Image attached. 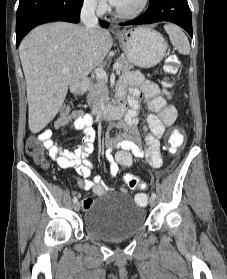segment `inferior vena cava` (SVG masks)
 <instances>
[{
  "mask_svg": "<svg viewBox=\"0 0 227 279\" xmlns=\"http://www.w3.org/2000/svg\"><path fill=\"white\" fill-rule=\"evenodd\" d=\"M96 4L93 0H85L81 10V21L88 31L98 27V18L95 15Z\"/></svg>",
  "mask_w": 227,
  "mask_h": 279,
  "instance_id": "obj_1",
  "label": "inferior vena cava"
}]
</instances>
